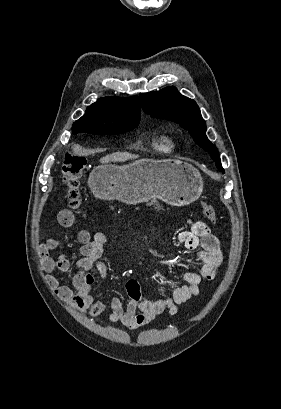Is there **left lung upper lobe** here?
<instances>
[{"label": "left lung upper lobe", "mask_w": 281, "mask_h": 409, "mask_svg": "<svg viewBox=\"0 0 281 409\" xmlns=\"http://www.w3.org/2000/svg\"><path fill=\"white\" fill-rule=\"evenodd\" d=\"M140 101L147 114L175 121L188 130L193 140L210 153L218 170L224 173L217 148L206 136V123L194 100L181 95L174 87H166L157 92L140 94Z\"/></svg>", "instance_id": "5c2ea615"}]
</instances>
